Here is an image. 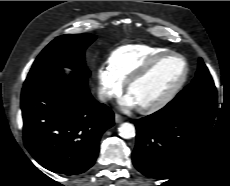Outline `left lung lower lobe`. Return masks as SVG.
Returning <instances> with one entry per match:
<instances>
[{
	"label": "left lung lower lobe",
	"instance_id": "1",
	"mask_svg": "<svg viewBox=\"0 0 230 186\" xmlns=\"http://www.w3.org/2000/svg\"><path fill=\"white\" fill-rule=\"evenodd\" d=\"M216 111L217 93L209 92L172 100L161 110L136 119L135 167L151 178H171L201 149Z\"/></svg>",
	"mask_w": 230,
	"mask_h": 186
}]
</instances>
